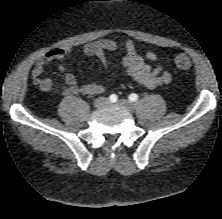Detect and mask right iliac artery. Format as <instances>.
I'll list each match as a JSON object with an SVG mask.
<instances>
[{
    "instance_id": "1",
    "label": "right iliac artery",
    "mask_w": 222,
    "mask_h": 219,
    "mask_svg": "<svg viewBox=\"0 0 222 219\" xmlns=\"http://www.w3.org/2000/svg\"><path fill=\"white\" fill-rule=\"evenodd\" d=\"M117 95H115V94H112V95H110V97H109V100L112 102V103H114V102H116L117 101Z\"/></svg>"
}]
</instances>
